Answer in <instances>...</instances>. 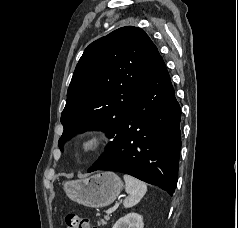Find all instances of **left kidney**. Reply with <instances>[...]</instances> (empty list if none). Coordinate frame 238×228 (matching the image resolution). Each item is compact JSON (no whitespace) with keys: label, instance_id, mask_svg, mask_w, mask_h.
Returning <instances> with one entry per match:
<instances>
[{"label":"left kidney","instance_id":"1","mask_svg":"<svg viewBox=\"0 0 238 228\" xmlns=\"http://www.w3.org/2000/svg\"><path fill=\"white\" fill-rule=\"evenodd\" d=\"M143 217L137 213H129L116 221L112 228H143Z\"/></svg>","mask_w":238,"mask_h":228}]
</instances>
